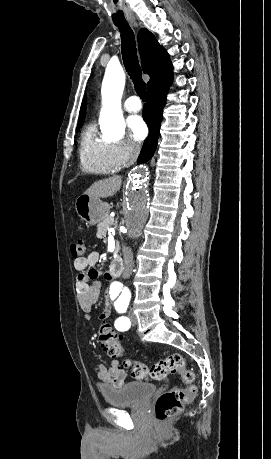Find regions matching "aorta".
<instances>
[{"instance_id": "1", "label": "aorta", "mask_w": 271, "mask_h": 459, "mask_svg": "<svg viewBox=\"0 0 271 459\" xmlns=\"http://www.w3.org/2000/svg\"><path fill=\"white\" fill-rule=\"evenodd\" d=\"M124 85L125 74L122 69L106 71L101 89L103 107L100 127L102 133L112 140H119L125 132L121 110ZM121 207L128 237H139L150 211L149 170L146 166H137L129 173ZM110 287L116 291L121 289V284L113 282Z\"/></svg>"}]
</instances>
